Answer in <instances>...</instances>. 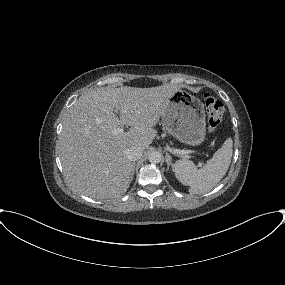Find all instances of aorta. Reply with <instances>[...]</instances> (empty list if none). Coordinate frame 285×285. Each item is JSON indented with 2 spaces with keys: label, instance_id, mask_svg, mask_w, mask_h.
Returning <instances> with one entry per match:
<instances>
[{
  "label": "aorta",
  "instance_id": "aorta-1",
  "mask_svg": "<svg viewBox=\"0 0 285 285\" xmlns=\"http://www.w3.org/2000/svg\"><path fill=\"white\" fill-rule=\"evenodd\" d=\"M161 159H162L161 153L158 151H152L148 155L149 162L153 164L160 163Z\"/></svg>",
  "mask_w": 285,
  "mask_h": 285
}]
</instances>
